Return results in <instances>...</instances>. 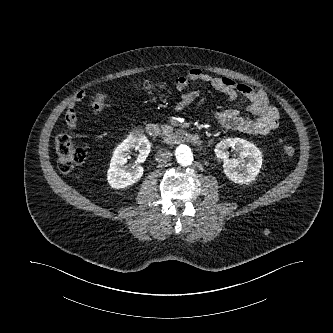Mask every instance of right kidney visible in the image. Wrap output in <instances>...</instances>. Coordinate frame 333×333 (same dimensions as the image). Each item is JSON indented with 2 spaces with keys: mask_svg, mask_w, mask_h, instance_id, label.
Returning a JSON list of instances; mask_svg holds the SVG:
<instances>
[{
  "mask_svg": "<svg viewBox=\"0 0 333 333\" xmlns=\"http://www.w3.org/2000/svg\"><path fill=\"white\" fill-rule=\"evenodd\" d=\"M131 149L139 151L136 165L127 166L128 154ZM151 144L143 135H133L116 147L107 172L109 185L115 189L127 188L140 180L143 175V163L150 153Z\"/></svg>",
  "mask_w": 333,
  "mask_h": 333,
  "instance_id": "right-kidney-1",
  "label": "right kidney"
}]
</instances>
